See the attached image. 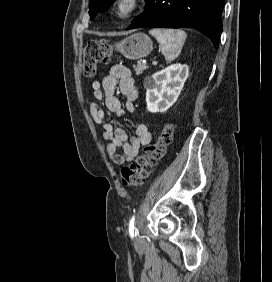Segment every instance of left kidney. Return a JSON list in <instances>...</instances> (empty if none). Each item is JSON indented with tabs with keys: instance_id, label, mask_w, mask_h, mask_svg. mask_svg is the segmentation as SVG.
<instances>
[{
	"instance_id": "left-kidney-1",
	"label": "left kidney",
	"mask_w": 272,
	"mask_h": 282,
	"mask_svg": "<svg viewBox=\"0 0 272 282\" xmlns=\"http://www.w3.org/2000/svg\"><path fill=\"white\" fill-rule=\"evenodd\" d=\"M188 75V66L176 63L146 79L147 110L152 113L167 111L177 101Z\"/></svg>"
}]
</instances>
